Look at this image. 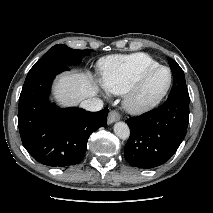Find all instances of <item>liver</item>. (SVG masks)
<instances>
[{"instance_id":"6515ba94","label":"liver","mask_w":213,"mask_h":213,"mask_svg":"<svg viewBox=\"0 0 213 213\" xmlns=\"http://www.w3.org/2000/svg\"><path fill=\"white\" fill-rule=\"evenodd\" d=\"M53 92L63 106H70L96 96L98 87L89 74L64 73L56 80Z\"/></svg>"}]
</instances>
